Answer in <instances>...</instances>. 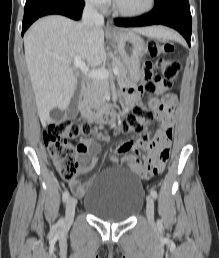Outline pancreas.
<instances>
[{
  "instance_id": "pancreas-1",
  "label": "pancreas",
  "mask_w": 219,
  "mask_h": 258,
  "mask_svg": "<svg viewBox=\"0 0 219 258\" xmlns=\"http://www.w3.org/2000/svg\"><path fill=\"white\" fill-rule=\"evenodd\" d=\"M113 68H117V80L120 84L128 83V70L124 63L115 60L112 63ZM110 94V85L108 79H95L87 88L84 94V104L88 108L98 109L105 103V98Z\"/></svg>"
}]
</instances>
